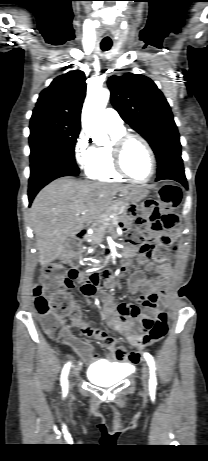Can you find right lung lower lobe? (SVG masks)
<instances>
[{
  "label": "right lung lower lobe",
  "instance_id": "right-lung-lower-lobe-1",
  "mask_svg": "<svg viewBox=\"0 0 208 461\" xmlns=\"http://www.w3.org/2000/svg\"><path fill=\"white\" fill-rule=\"evenodd\" d=\"M78 175L79 173L74 172L68 169L67 167L61 165L48 166L41 169L36 174L30 175L28 188L29 205H31L34 197L39 192V190L43 188L45 185H47L49 182L63 176Z\"/></svg>",
  "mask_w": 208,
  "mask_h": 461
}]
</instances>
